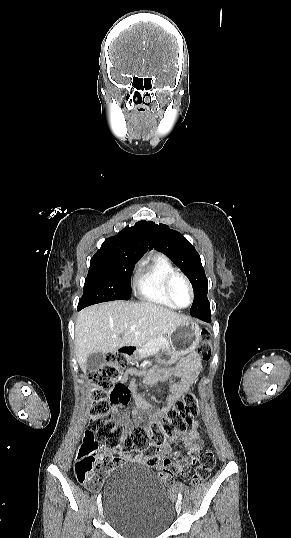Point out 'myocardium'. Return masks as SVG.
Segmentation results:
<instances>
[{
  "label": "myocardium",
  "instance_id": "obj_1",
  "mask_svg": "<svg viewBox=\"0 0 291 538\" xmlns=\"http://www.w3.org/2000/svg\"><path fill=\"white\" fill-rule=\"evenodd\" d=\"M182 279L185 284L187 285L188 287V290H189V294H190V300H189V303L186 305V306H180L178 305L175 300H174V297H173V293H172V286H173V283L176 279ZM165 293H166V296L167 298L169 299V301L174 305L175 308H178V309H186L188 307H190L194 301V290H193V286L190 282V280L188 279V277L181 273V272H174L172 274H170L166 280H165Z\"/></svg>",
  "mask_w": 291,
  "mask_h": 538
}]
</instances>
